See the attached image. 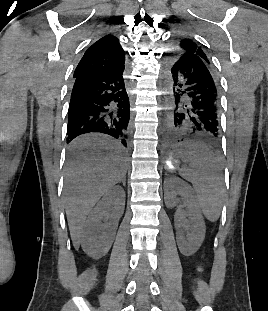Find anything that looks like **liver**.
<instances>
[{
  "label": "liver",
  "mask_w": 268,
  "mask_h": 311,
  "mask_svg": "<svg viewBox=\"0 0 268 311\" xmlns=\"http://www.w3.org/2000/svg\"><path fill=\"white\" fill-rule=\"evenodd\" d=\"M127 160L117 142L94 137L76 139L70 147L65 173V211L75 248L87 215L111 187L125 178Z\"/></svg>",
  "instance_id": "1"
}]
</instances>
